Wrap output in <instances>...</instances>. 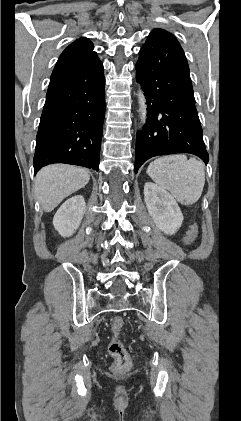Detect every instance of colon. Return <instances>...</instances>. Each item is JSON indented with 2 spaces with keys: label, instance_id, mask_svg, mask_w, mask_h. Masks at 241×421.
Segmentation results:
<instances>
[{
  "label": "colon",
  "instance_id": "5ec220e1",
  "mask_svg": "<svg viewBox=\"0 0 241 421\" xmlns=\"http://www.w3.org/2000/svg\"><path fill=\"white\" fill-rule=\"evenodd\" d=\"M198 235L197 225H193L184 238V243L189 245L193 243ZM124 326V319L116 316L111 322L112 338L108 345V351L114 358L112 369L114 372L121 373L130 366V355L120 340V333Z\"/></svg>",
  "mask_w": 241,
  "mask_h": 421
}]
</instances>
